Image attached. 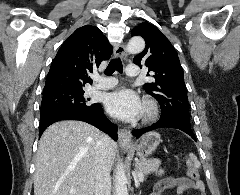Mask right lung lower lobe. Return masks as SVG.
<instances>
[{"mask_svg":"<svg viewBox=\"0 0 240 195\" xmlns=\"http://www.w3.org/2000/svg\"><path fill=\"white\" fill-rule=\"evenodd\" d=\"M61 120L84 121L104 131L114 140L118 138V127L106 118L102 107L57 109L41 113L39 136H41L49 125Z\"/></svg>","mask_w":240,"mask_h":195,"instance_id":"right-lung-lower-lobe-1","label":"right lung lower lobe"}]
</instances>
